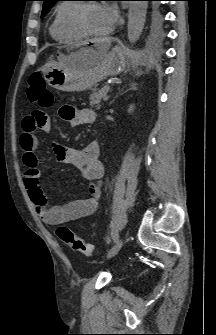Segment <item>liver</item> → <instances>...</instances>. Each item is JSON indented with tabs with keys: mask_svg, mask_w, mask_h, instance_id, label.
Listing matches in <instances>:
<instances>
[{
	"mask_svg": "<svg viewBox=\"0 0 216 335\" xmlns=\"http://www.w3.org/2000/svg\"><path fill=\"white\" fill-rule=\"evenodd\" d=\"M96 43V50L92 54H84L79 52L72 56L70 66L77 69L89 68L98 63L103 54H105L110 47V40H94ZM104 42V44H101Z\"/></svg>",
	"mask_w": 216,
	"mask_h": 335,
	"instance_id": "obj_1",
	"label": "liver"
}]
</instances>
